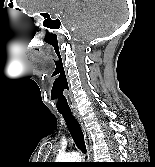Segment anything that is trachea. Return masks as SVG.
<instances>
[{
	"label": "trachea",
	"mask_w": 155,
	"mask_h": 167,
	"mask_svg": "<svg viewBox=\"0 0 155 167\" xmlns=\"http://www.w3.org/2000/svg\"><path fill=\"white\" fill-rule=\"evenodd\" d=\"M60 114L63 116L67 128L69 132L71 133L77 147L83 152L86 153V146L84 142V135L82 132V129L80 127V124L74 117L71 111H59Z\"/></svg>",
	"instance_id": "3493384b"
}]
</instances>
